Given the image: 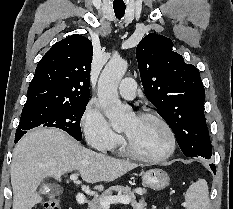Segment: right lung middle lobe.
Segmentation results:
<instances>
[{"label": "right lung middle lobe", "mask_w": 233, "mask_h": 209, "mask_svg": "<svg viewBox=\"0 0 233 209\" xmlns=\"http://www.w3.org/2000/svg\"><path fill=\"white\" fill-rule=\"evenodd\" d=\"M88 101L78 103H38L24 105L15 137L37 126L56 127L82 140L80 120Z\"/></svg>", "instance_id": "obj_1"}]
</instances>
